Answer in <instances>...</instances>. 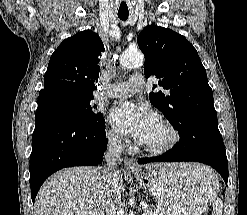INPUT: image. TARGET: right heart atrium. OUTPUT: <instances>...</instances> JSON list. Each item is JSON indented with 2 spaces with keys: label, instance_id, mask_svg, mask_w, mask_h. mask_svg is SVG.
<instances>
[{
  "label": "right heart atrium",
  "instance_id": "obj_1",
  "mask_svg": "<svg viewBox=\"0 0 247 215\" xmlns=\"http://www.w3.org/2000/svg\"><path fill=\"white\" fill-rule=\"evenodd\" d=\"M108 144L114 149H122L125 145L123 137L114 129H108L106 132Z\"/></svg>",
  "mask_w": 247,
  "mask_h": 215
}]
</instances>
